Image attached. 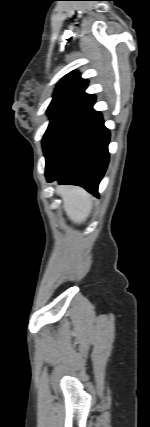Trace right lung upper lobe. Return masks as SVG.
Listing matches in <instances>:
<instances>
[{"label": "right lung upper lobe", "instance_id": "obj_1", "mask_svg": "<svg viewBox=\"0 0 150 427\" xmlns=\"http://www.w3.org/2000/svg\"><path fill=\"white\" fill-rule=\"evenodd\" d=\"M88 81L82 79L78 72L73 71L61 79L55 93L53 100L48 109L62 108V109H76L83 111L95 102V96L86 94Z\"/></svg>", "mask_w": 150, "mask_h": 427}]
</instances>
